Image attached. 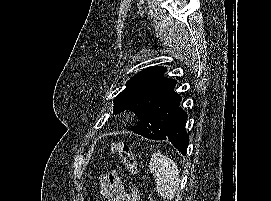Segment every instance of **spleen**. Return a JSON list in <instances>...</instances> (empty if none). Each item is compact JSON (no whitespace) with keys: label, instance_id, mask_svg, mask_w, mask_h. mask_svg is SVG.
Listing matches in <instances>:
<instances>
[{"label":"spleen","instance_id":"3e777b00","mask_svg":"<svg viewBox=\"0 0 271 201\" xmlns=\"http://www.w3.org/2000/svg\"><path fill=\"white\" fill-rule=\"evenodd\" d=\"M149 170L156 178V191L167 200L175 197L180 184L179 170L176 163L160 152L151 155Z\"/></svg>","mask_w":271,"mask_h":201}]
</instances>
